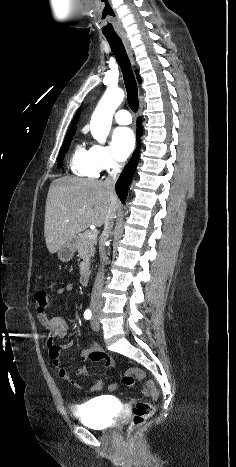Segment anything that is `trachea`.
<instances>
[{
	"instance_id": "3493384b",
	"label": "trachea",
	"mask_w": 236,
	"mask_h": 467,
	"mask_svg": "<svg viewBox=\"0 0 236 467\" xmlns=\"http://www.w3.org/2000/svg\"><path fill=\"white\" fill-rule=\"evenodd\" d=\"M106 39L109 42L111 49L114 52L120 65L127 91V100L129 106L133 112H137L139 107L138 88L124 45L119 37Z\"/></svg>"
}]
</instances>
